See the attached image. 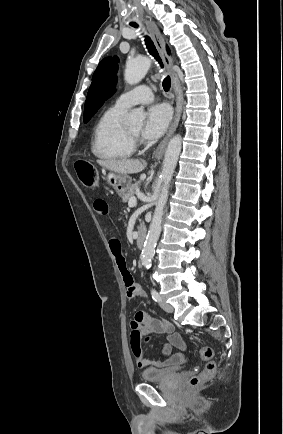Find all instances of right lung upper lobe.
<instances>
[{"label": "right lung upper lobe", "mask_w": 283, "mask_h": 434, "mask_svg": "<svg viewBox=\"0 0 283 434\" xmlns=\"http://www.w3.org/2000/svg\"><path fill=\"white\" fill-rule=\"evenodd\" d=\"M167 50H168V53H170V51H169L168 47H167Z\"/></svg>", "instance_id": "obj_1"}]
</instances>
